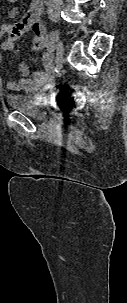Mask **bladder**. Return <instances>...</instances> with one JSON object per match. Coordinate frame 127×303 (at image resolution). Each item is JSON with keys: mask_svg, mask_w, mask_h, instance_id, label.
<instances>
[{"mask_svg": "<svg viewBox=\"0 0 127 303\" xmlns=\"http://www.w3.org/2000/svg\"><path fill=\"white\" fill-rule=\"evenodd\" d=\"M6 102L12 110L24 113L33 119H45L48 115L46 103L36 94H8Z\"/></svg>", "mask_w": 127, "mask_h": 303, "instance_id": "31cf9c89", "label": "bladder"}]
</instances>
